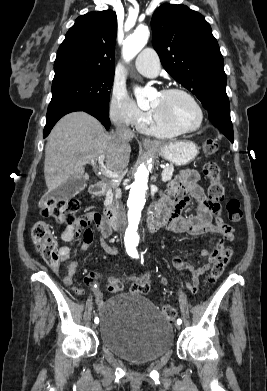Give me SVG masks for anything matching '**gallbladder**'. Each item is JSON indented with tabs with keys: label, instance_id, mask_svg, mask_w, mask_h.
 Masks as SVG:
<instances>
[{
	"label": "gallbladder",
	"instance_id": "1",
	"mask_svg": "<svg viewBox=\"0 0 267 391\" xmlns=\"http://www.w3.org/2000/svg\"><path fill=\"white\" fill-rule=\"evenodd\" d=\"M85 187L86 180L84 178L69 179L66 183H63L61 186L51 192L50 197L54 200L67 201L75 197Z\"/></svg>",
	"mask_w": 267,
	"mask_h": 391
}]
</instances>
